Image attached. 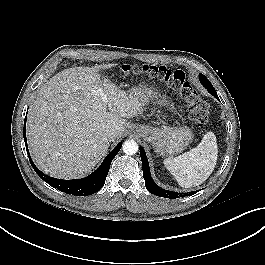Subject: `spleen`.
<instances>
[{"label":"spleen","instance_id":"3e777b00","mask_svg":"<svg viewBox=\"0 0 265 265\" xmlns=\"http://www.w3.org/2000/svg\"><path fill=\"white\" fill-rule=\"evenodd\" d=\"M217 156L216 136L208 132L196 148L175 158H166L164 165L181 187L190 188L208 179L216 166Z\"/></svg>","mask_w":265,"mask_h":265}]
</instances>
